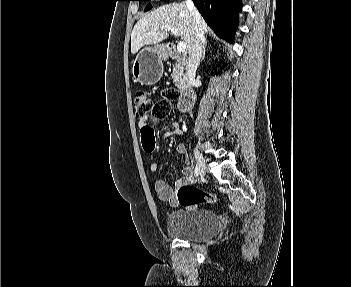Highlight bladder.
Segmentation results:
<instances>
[{"mask_svg": "<svg viewBox=\"0 0 351 287\" xmlns=\"http://www.w3.org/2000/svg\"><path fill=\"white\" fill-rule=\"evenodd\" d=\"M219 228V217L210 210H174L169 213L166 221L169 235L190 241L209 239Z\"/></svg>", "mask_w": 351, "mask_h": 287, "instance_id": "obj_1", "label": "bladder"}]
</instances>
